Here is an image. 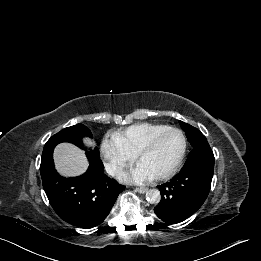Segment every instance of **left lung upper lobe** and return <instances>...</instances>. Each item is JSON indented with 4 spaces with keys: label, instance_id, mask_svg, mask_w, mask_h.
<instances>
[{
    "label": "left lung upper lobe",
    "instance_id": "obj_1",
    "mask_svg": "<svg viewBox=\"0 0 261 261\" xmlns=\"http://www.w3.org/2000/svg\"><path fill=\"white\" fill-rule=\"evenodd\" d=\"M180 125L182 129L186 132V137L193 148L198 146L202 142L207 141L206 137L195 127L182 121H180Z\"/></svg>",
    "mask_w": 261,
    "mask_h": 261
}]
</instances>
